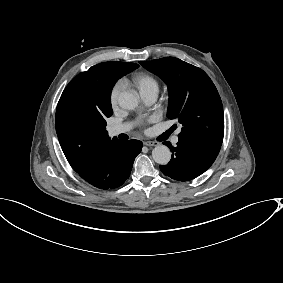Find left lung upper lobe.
<instances>
[{
	"label": "left lung upper lobe",
	"mask_w": 283,
	"mask_h": 283,
	"mask_svg": "<svg viewBox=\"0 0 283 283\" xmlns=\"http://www.w3.org/2000/svg\"><path fill=\"white\" fill-rule=\"evenodd\" d=\"M140 64L167 84V117L178 119L183 125L178 137L220 148L224 135L223 105L209 76L174 57L140 61Z\"/></svg>",
	"instance_id": "5c2ea615"
}]
</instances>
